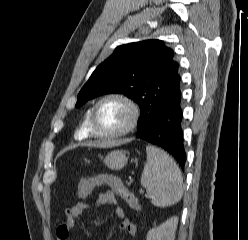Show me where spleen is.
<instances>
[{
	"mask_svg": "<svg viewBox=\"0 0 248 240\" xmlns=\"http://www.w3.org/2000/svg\"><path fill=\"white\" fill-rule=\"evenodd\" d=\"M147 162L144 166L141 185L146 189L153 205L168 207L178 203L183 195L182 173L165 151L148 145Z\"/></svg>",
	"mask_w": 248,
	"mask_h": 240,
	"instance_id": "obj_1",
	"label": "spleen"
}]
</instances>
